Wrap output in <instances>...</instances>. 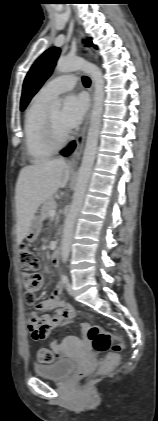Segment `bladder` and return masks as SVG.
<instances>
[{
  "instance_id": "bladder-1",
  "label": "bladder",
  "mask_w": 158,
  "mask_h": 421,
  "mask_svg": "<svg viewBox=\"0 0 158 421\" xmlns=\"http://www.w3.org/2000/svg\"><path fill=\"white\" fill-rule=\"evenodd\" d=\"M76 364L70 358H61L48 364L34 365V373L42 378L64 380L75 369Z\"/></svg>"
}]
</instances>
